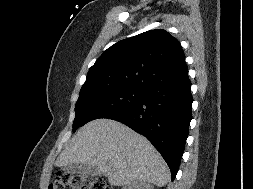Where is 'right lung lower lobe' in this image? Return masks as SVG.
Returning <instances> with one entry per match:
<instances>
[{"label":"right lung lower lobe","instance_id":"98d812e1","mask_svg":"<svg viewBox=\"0 0 253 189\" xmlns=\"http://www.w3.org/2000/svg\"><path fill=\"white\" fill-rule=\"evenodd\" d=\"M191 82L161 84L146 90L135 105L107 118L144 135L167 162L174 180L192 119Z\"/></svg>","mask_w":253,"mask_h":189}]
</instances>
